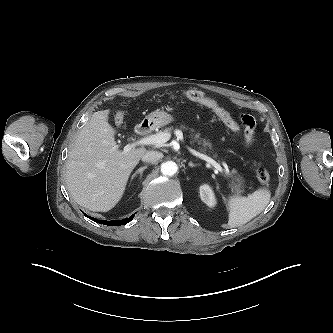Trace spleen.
I'll list each match as a JSON object with an SVG mask.
<instances>
[{
  "instance_id": "spleen-1",
  "label": "spleen",
  "mask_w": 333,
  "mask_h": 333,
  "mask_svg": "<svg viewBox=\"0 0 333 333\" xmlns=\"http://www.w3.org/2000/svg\"><path fill=\"white\" fill-rule=\"evenodd\" d=\"M270 191L266 189L256 190L254 193L248 195V197H242L239 195L230 196L227 209L228 226L235 228L242 226L259 215L270 201Z\"/></svg>"
}]
</instances>
